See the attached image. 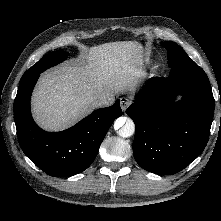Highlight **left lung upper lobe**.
<instances>
[{"label":"left lung upper lobe","instance_id":"left-lung-upper-lobe-1","mask_svg":"<svg viewBox=\"0 0 221 221\" xmlns=\"http://www.w3.org/2000/svg\"><path fill=\"white\" fill-rule=\"evenodd\" d=\"M162 46L167 49L168 63L171 70L198 68V65L186 54V52L174 42H163Z\"/></svg>","mask_w":221,"mask_h":221}]
</instances>
